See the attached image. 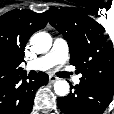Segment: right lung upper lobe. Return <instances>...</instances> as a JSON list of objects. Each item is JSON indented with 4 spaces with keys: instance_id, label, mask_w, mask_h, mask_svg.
I'll use <instances>...</instances> for the list:
<instances>
[{
    "instance_id": "obj_1",
    "label": "right lung upper lobe",
    "mask_w": 114,
    "mask_h": 114,
    "mask_svg": "<svg viewBox=\"0 0 114 114\" xmlns=\"http://www.w3.org/2000/svg\"><path fill=\"white\" fill-rule=\"evenodd\" d=\"M47 24L43 14L12 10L0 16V77L21 74L24 48L30 36Z\"/></svg>"
}]
</instances>
